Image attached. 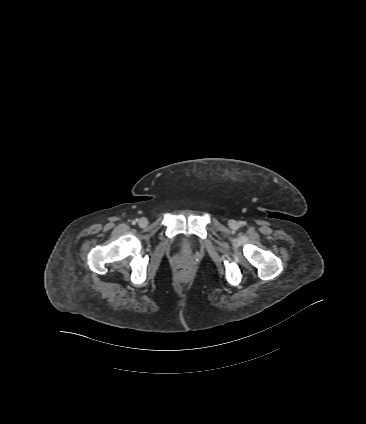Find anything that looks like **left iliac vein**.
Returning a JSON list of instances; mask_svg holds the SVG:
<instances>
[{
	"label": "left iliac vein",
	"instance_id": "4c4485c4",
	"mask_svg": "<svg viewBox=\"0 0 366 424\" xmlns=\"http://www.w3.org/2000/svg\"><path fill=\"white\" fill-rule=\"evenodd\" d=\"M229 226L233 229H237L239 227V224L235 220H230Z\"/></svg>",
	"mask_w": 366,
	"mask_h": 424
}]
</instances>
